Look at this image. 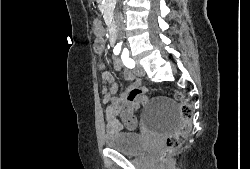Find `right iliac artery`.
I'll use <instances>...</instances> for the list:
<instances>
[{"instance_id": "right-iliac-artery-1", "label": "right iliac artery", "mask_w": 250, "mask_h": 169, "mask_svg": "<svg viewBox=\"0 0 250 169\" xmlns=\"http://www.w3.org/2000/svg\"><path fill=\"white\" fill-rule=\"evenodd\" d=\"M121 49H118L117 47L114 48L113 52L115 55H118L120 53Z\"/></svg>"}]
</instances>
